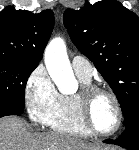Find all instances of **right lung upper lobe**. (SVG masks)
Here are the masks:
<instances>
[{"instance_id": "obj_1", "label": "right lung upper lobe", "mask_w": 139, "mask_h": 150, "mask_svg": "<svg viewBox=\"0 0 139 150\" xmlns=\"http://www.w3.org/2000/svg\"><path fill=\"white\" fill-rule=\"evenodd\" d=\"M53 27L52 10L33 14L7 6L0 12V58L38 65Z\"/></svg>"}]
</instances>
